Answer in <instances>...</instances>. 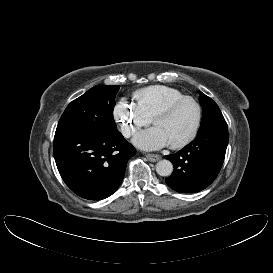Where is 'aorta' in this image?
<instances>
[{"instance_id":"762f6f07","label":"aorta","mask_w":273,"mask_h":273,"mask_svg":"<svg viewBox=\"0 0 273 273\" xmlns=\"http://www.w3.org/2000/svg\"><path fill=\"white\" fill-rule=\"evenodd\" d=\"M156 172L160 176H170L173 172V165L169 160H160L156 164Z\"/></svg>"}]
</instances>
